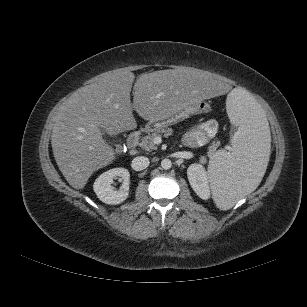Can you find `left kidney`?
<instances>
[{"label": "left kidney", "mask_w": 307, "mask_h": 307, "mask_svg": "<svg viewBox=\"0 0 307 307\" xmlns=\"http://www.w3.org/2000/svg\"><path fill=\"white\" fill-rule=\"evenodd\" d=\"M189 183L195 193L204 200L210 198L207 172L202 164H191L187 169Z\"/></svg>", "instance_id": "5707ae66"}]
</instances>
